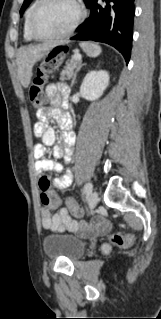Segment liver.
Returning a JSON list of instances; mask_svg holds the SVG:
<instances>
[{
  "mask_svg": "<svg viewBox=\"0 0 161 319\" xmlns=\"http://www.w3.org/2000/svg\"><path fill=\"white\" fill-rule=\"evenodd\" d=\"M54 46V43L47 42L35 46L21 47L18 50V76L24 88H27L30 84L34 64L43 58Z\"/></svg>",
  "mask_w": 161,
  "mask_h": 319,
  "instance_id": "6515ba94",
  "label": "liver"
}]
</instances>
